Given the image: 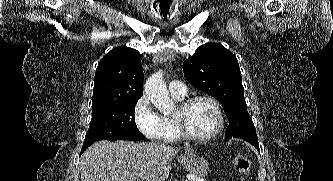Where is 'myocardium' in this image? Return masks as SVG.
I'll use <instances>...</instances> for the list:
<instances>
[{
	"label": "myocardium",
	"instance_id": "obj_1",
	"mask_svg": "<svg viewBox=\"0 0 333 181\" xmlns=\"http://www.w3.org/2000/svg\"><path fill=\"white\" fill-rule=\"evenodd\" d=\"M199 100H206L208 102H210L217 113V126L216 128L209 134L207 135H203V136H197L194 135L193 133H191L187 126L186 123L184 121V114L186 113V111L190 108V106L195 103L196 101ZM178 114L174 115V120L179 128L180 134L187 140L190 141H197V142H205V141H209L213 138H215L223 129L224 127V112H223V108L220 104V102L213 96L207 95V94H199V95H194L191 97H188L186 99H183L178 107Z\"/></svg>",
	"mask_w": 333,
	"mask_h": 181
}]
</instances>
